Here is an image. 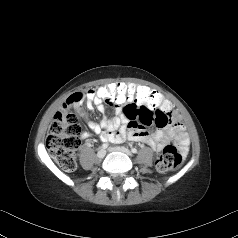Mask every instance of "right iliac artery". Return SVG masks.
Instances as JSON below:
<instances>
[{
    "mask_svg": "<svg viewBox=\"0 0 238 238\" xmlns=\"http://www.w3.org/2000/svg\"><path fill=\"white\" fill-rule=\"evenodd\" d=\"M108 147V144L107 143H104L103 145H102V148L103 149H106Z\"/></svg>",
    "mask_w": 238,
    "mask_h": 238,
    "instance_id": "82829eb1",
    "label": "right iliac artery"
}]
</instances>
